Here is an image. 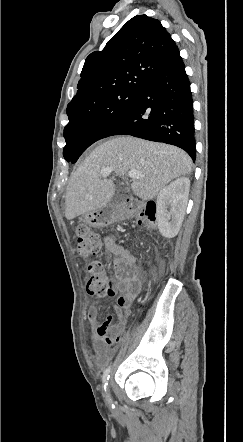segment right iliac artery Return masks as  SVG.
<instances>
[{"label": "right iliac artery", "instance_id": "right-iliac-artery-1", "mask_svg": "<svg viewBox=\"0 0 243 442\" xmlns=\"http://www.w3.org/2000/svg\"><path fill=\"white\" fill-rule=\"evenodd\" d=\"M109 373H110V367H108L104 371L103 377H102L103 387H104L105 391H106V386L108 385V380H109V377H110ZM106 397H107V400L109 401V403H111V399H109L108 396H106ZM112 408H114L113 404H112Z\"/></svg>", "mask_w": 243, "mask_h": 442}]
</instances>
